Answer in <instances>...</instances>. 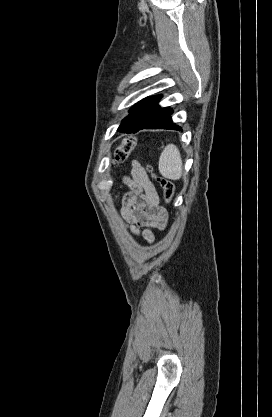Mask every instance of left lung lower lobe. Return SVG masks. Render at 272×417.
Instances as JSON below:
<instances>
[{
  "mask_svg": "<svg viewBox=\"0 0 272 417\" xmlns=\"http://www.w3.org/2000/svg\"><path fill=\"white\" fill-rule=\"evenodd\" d=\"M173 110L171 108H159L154 114H152L146 122L138 129L133 130L131 133H136L140 129H171L182 130L181 127L172 123L171 114Z\"/></svg>",
  "mask_w": 272,
  "mask_h": 417,
  "instance_id": "0a47b994",
  "label": "left lung lower lobe"
}]
</instances>
